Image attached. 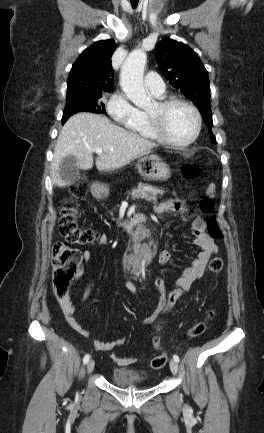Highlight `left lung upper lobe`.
I'll return each mask as SVG.
<instances>
[{"instance_id": "left-lung-upper-lobe-1", "label": "left lung upper lobe", "mask_w": 264, "mask_h": 433, "mask_svg": "<svg viewBox=\"0 0 264 433\" xmlns=\"http://www.w3.org/2000/svg\"><path fill=\"white\" fill-rule=\"evenodd\" d=\"M156 57L166 80L198 107L214 143L209 78L198 55L186 44L163 39L156 45Z\"/></svg>"}]
</instances>
